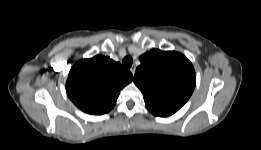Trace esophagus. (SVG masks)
Wrapping results in <instances>:
<instances>
[{
    "mask_svg": "<svg viewBox=\"0 0 261 150\" xmlns=\"http://www.w3.org/2000/svg\"><path fill=\"white\" fill-rule=\"evenodd\" d=\"M135 70H136V67H135V66H132V67L130 68V72L132 73V75L135 74Z\"/></svg>",
    "mask_w": 261,
    "mask_h": 150,
    "instance_id": "obj_1",
    "label": "esophagus"
}]
</instances>
